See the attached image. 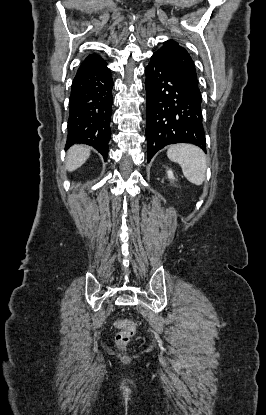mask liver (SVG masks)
<instances>
[{"label": "liver", "instance_id": "liver-1", "mask_svg": "<svg viewBox=\"0 0 266 415\" xmlns=\"http://www.w3.org/2000/svg\"><path fill=\"white\" fill-rule=\"evenodd\" d=\"M90 156V148L84 145H74L67 151L66 169L70 172L81 167Z\"/></svg>", "mask_w": 266, "mask_h": 415}]
</instances>
